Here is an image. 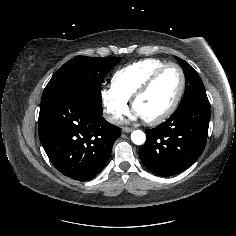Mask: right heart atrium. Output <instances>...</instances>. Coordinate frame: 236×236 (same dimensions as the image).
I'll return each mask as SVG.
<instances>
[{
  "label": "right heart atrium",
  "instance_id": "1",
  "mask_svg": "<svg viewBox=\"0 0 236 236\" xmlns=\"http://www.w3.org/2000/svg\"><path fill=\"white\" fill-rule=\"evenodd\" d=\"M100 97L105 113L111 121L118 120L129 109V100L119 94L112 85L102 88Z\"/></svg>",
  "mask_w": 236,
  "mask_h": 236
}]
</instances>
